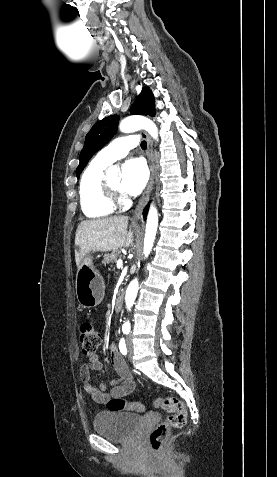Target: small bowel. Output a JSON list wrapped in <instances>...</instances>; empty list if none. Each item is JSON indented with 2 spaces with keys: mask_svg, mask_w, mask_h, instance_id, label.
I'll return each instance as SVG.
<instances>
[{
  "mask_svg": "<svg viewBox=\"0 0 277 477\" xmlns=\"http://www.w3.org/2000/svg\"><path fill=\"white\" fill-rule=\"evenodd\" d=\"M110 358L117 373V378L110 381L112 387L110 392L106 391V384L103 381L99 383L98 387H94L90 383V372L100 371L102 369V363L97 354L91 355L88 362L80 369V377L85 391L94 402L99 404H108L113 398L124 399V397L131 394L136 387V381L114 343L110 345Z\"/></svg>",
  "mask_w": 277,
  "mask_h": 477,
  "instance_id": "c3829d8e",
  "label": "small bowel"
}]
</instances>
